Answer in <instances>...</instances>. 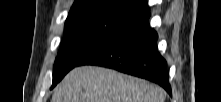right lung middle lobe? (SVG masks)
I'll return each instance as SVG.
<instances>
[{
	"instance_id": "dd1d6c3e",
	"label": "right lung middle lobe",
	"mask_w": 221,
	"mask_h": 102,
	"mask_svg": "<svg viewBox=\"0 0 221 102\" xmlns=\"http://www.w3.org/2000/svg\"><path fill=\"white\" fill-rule=\"evenodd\" d=\"M142 12L110 2H95L71 10L53 70L56 85L96 48L127 28Z\"/></svg>"
}]
</instances>
